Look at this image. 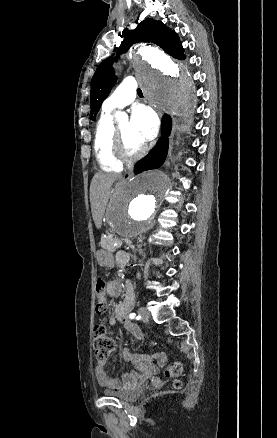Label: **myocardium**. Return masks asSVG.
I'll use <instances>...</instances> for the list:
<instances>
[{"mask_svg": "<svg viewBox=\"0 0 277 438\" xmlns=\"http://www.w3.org/2000/svg\"><path fill=\"white\" fill-rule=\"evenodd\" d=\"M111 147H112V151L114 152L116 158L122 163H131L133 161H136L143 153L142 151H140L136 155H131L128 153L126 146H125L124 138L121 135V133L119 132L118 127H115L112 130Z\"/></svg>", "mask_w": 277, "mask_h": 438, "instance_id": "1", "label": "myocardium"}]
</instances>
